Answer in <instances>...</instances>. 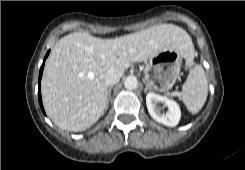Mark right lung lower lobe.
<instances>
[{
    "label": "right lung lower lobe",
    "instance_id": "98d812e1",
    "mask_svg": "<svg viewBox=\"0 0 245 170\" xmlns=\"http://www.w3.org/2000/svg\"><path fill=\"white\" fill-rule=\"evenodd\" d=\"M49 52L50 51L47 52V54H46V56L44 58V61L47 58V56L49 55ZM43 68H44V62H43V65L40 68V74H39V81H38V99H39V103H40L41 109H42L43 113H45L44 112V109H43V105H42L41 92H40V82H41V77H42V73H43Z\"/></svg>",
    "mask_w": 245,
    "mask_h": 170
}]
</instances>
